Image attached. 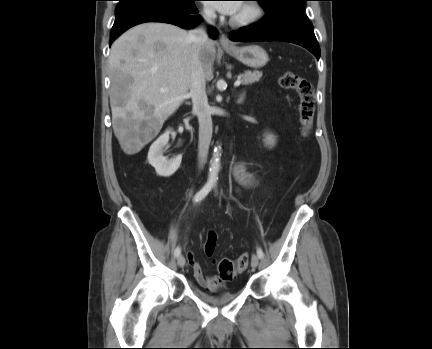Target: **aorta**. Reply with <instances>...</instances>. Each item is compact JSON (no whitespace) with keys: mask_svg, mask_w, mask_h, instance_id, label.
I'll return each mask as SVG.
<instances>
[{"mask_svg":"<svg viewBox=\"0 0 432 349\" xmlns=\"http://www.w3.org/2000/svg\"><path fill=\"white\" fill-rule=\"evenodd\" d=\"M220 157H221L220 147L215 148L212 160L210 162V168L208 174V179L211 182H216L218 179V173L220 170Z\"/></svg>","mask_w":432,"mask_h":349,"instance_id":"762f6f07","label":"aorta"}]
</instances>
